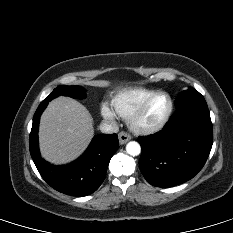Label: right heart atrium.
<instances>
[{
    "mask_svg": "<svg viewBox=\"0 0 233 233\" xmlns=\"http://www.w3.org/2000/svg\"><path fill=\"white\" fill-rule=\"evenodd\" d=\"M101 113H102L104 118H106L108 120H114V117H115L114 113L107 105H102Z\"/></svg>",
    "mask_w": 233,
    "mask_h": 233,
    "instance_id": "right-heart-atrium-1",
    "label": "right heart atrium"
}]
</instances>
